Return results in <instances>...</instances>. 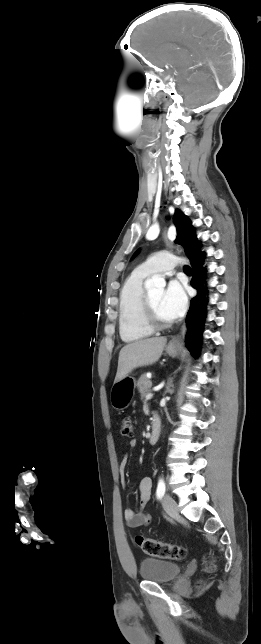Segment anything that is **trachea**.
<instances>
[{
	"label": "trachea",
	"instance_id": "trachea-1",
	"mask_svg": "<svg viewBox=\"0 0 261 644\" xmlns=\"http://www.w3.org/2000/svg\"><path fill=\"white\" fill-rule=\"evenodd\" d=\"M185 272H192V269L189 266L184 267Z\"/></svg>",
	"mask_w": 261,
	"mask_h": 644
}]
</instances>
